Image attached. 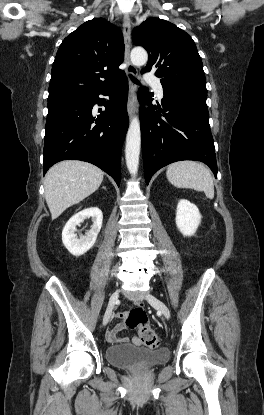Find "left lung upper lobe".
Here are the masks:
<instances>
[{
	"mask_svg": "<svg viewBox=\"0 0 264 415\" xmlns=\"http://www.w3.org/2000/svg\"><path fill=\"white\" fill-rule=\"evenodd\" d=\"M133 42L149 59L142 73L156 70L163 88L207 92L202 60L193 39L176 25L150 17L133 31Z\"/></svg>",
	"mask_w": 264,
	"mask_h": 415,
	"instance_id": "1",
	"label": "left lung upper lobe"
}]
</instances>
